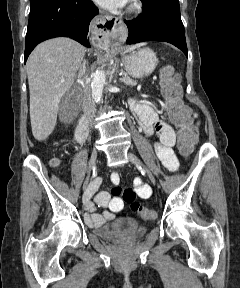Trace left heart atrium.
<instances>
[{"label": "left heart atrium", "instance_id": "1", "mask_svg": "<svg viewBox=\"0 0 240 288\" xmlns=\"http://www.w3.org/2000/svg\"><path fill=\"white\" fill-rule=\"evenodd\" d=\"M94 1L104 8L115 10L123 7L128 0H94Z\"/></svg>", "mask_w": 240, "mask_h": 288}]
</instances>
